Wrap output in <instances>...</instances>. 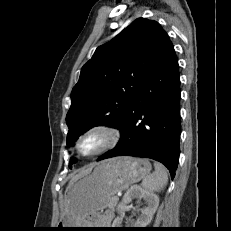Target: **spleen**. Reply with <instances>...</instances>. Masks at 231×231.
Segmentation results:
<instances>
[{"instance_id": "3e777b00", "label": "spleen", "mask_w": 231, "mask_h": 231, "mask_svg": "<svg viewBox=\"0 0 231 231\" xmlns=\"http://www.w3.org/2000/svg\"><path fill=\"white\" fill-rule=\"evenodd\" d=\"M155 171L153 174L147 175L143 181L142 186L149 192H159L164 189L168 182V173L166 168L158 163H154Z\"/></svg>"}]
</instances>
